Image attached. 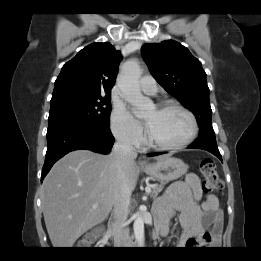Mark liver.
Segmentation results:
<instances>
[{
	"mask_svg": "<svg viewBox=\"0 0 261 261\" xmlns=\"http://www.w3.org/2000/svg\"><path fill=\"white\" fill-rule=\"evenodd\" d=\"M113 161V152L100 155L76 150L51 168L42 184L41 200L53 247L71 248L80 236L107 219L114 204ZM125 176L132 192L139 176L135 161L126 166Z\"/></svg>",
	"mask_w": 261,
	"mask_h": 261,
	"instance_id": "6515ba94",
	"label": "liver"
}]
</instances>
